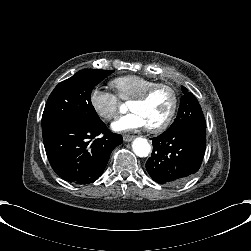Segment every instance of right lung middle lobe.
<instances>
[{"mask_svg":"<svg viewBox=\"0 0 251 251\" xmlns=\"http://www.w3.org/2000/svg\"><path fill=\"white\" fill-rule=\"evenodd\" d=\"M113 70L83 69L59 83L50 94L42 116V132L71 120L101 122L92 103V89Z\"/></svg>","mask_w":251,"mask_h":251,"instance_id":"1","label":"right lung middle lobe"}]
</instances>
